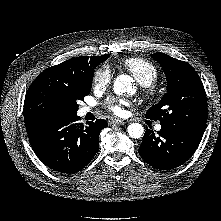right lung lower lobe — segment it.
I'll return each mask as SVG.
<instances>
[{
	"mask_svg": "<svg viewBox=\"0 0 221 221\" xmlns=\"http://www.w3.org/2000/svg\"><path fill=\"white\" fill-rule=\"evenodd\" d=\"M79 117L24 116L26 131L37 157L49 168L72 174L84 168L98 148L100 131L107 127L104 119L78 123Z\"/></svg>",
	"mask_w": 221,
	"mask_h": 221,
	"instance_id": "right-lung-lower-lobe-1",
	"label": "right lung lower lobe"
}]
</instances>
